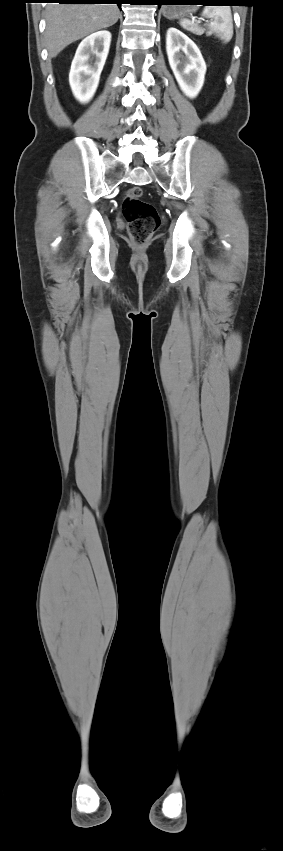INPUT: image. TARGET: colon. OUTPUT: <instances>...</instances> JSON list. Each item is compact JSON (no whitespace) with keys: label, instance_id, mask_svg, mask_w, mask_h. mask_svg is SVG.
Listing matches in <instances>:
<instances>
[{"label":"colon","instance_id":"5ec220e1","mask_svg":"<svg viewBox=\"0 0 283 851\" xmlns=\"http://www.w3.org/2000/svg\"><path fill=\"white\" fill-rule=\"evenodd\" d=\"M142 189L138 186L129 188L123 197V215L128 224V231L133 243L141 247L152 236L160 224L156 208L142 201Z\"/></svg>","mask_w":283,"mask_h":851}]
</instances>
